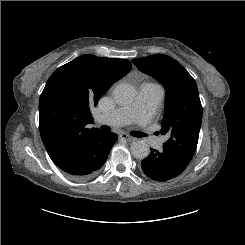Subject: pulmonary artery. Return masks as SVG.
Listing matches in <instances>:
<instances>
[{
    "instance_id": "pulmonary-artery-1",
    "label": "pulmonary artery",
    "mask_w": 245,
    "mask_h": 245,
    "mask_svg": "<svg viewBox=\"0 0 245 245\" xmlns=\"http://www.w3.org/2000/svg\"><path fill=\"white\" fill-rule=\"evenodd\" d=\"M163 98L164 90L161 86L143 83L140 85L138 95L132 103L120 106L110 113L100 114L96 120L98 123L105 125H123L129 121H135L141 133L147 135V133L152 132L151 120L158 113ZM157 141V148H161L162 140Z\"/></svg>"
}]
</instances>
